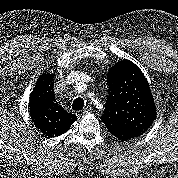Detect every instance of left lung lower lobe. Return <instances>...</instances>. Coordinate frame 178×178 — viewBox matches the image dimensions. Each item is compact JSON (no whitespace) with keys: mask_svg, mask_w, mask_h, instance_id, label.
Segmentation results:
<instances>
[{"mask_svg":"<svg viewBox=\"0 0 178 178\" xmlns=\"http://www.w3.org/2000/svg\"><path fill=\"white\" fill-rule=\"evenodd\" d=\"M104 124L112 135L123 141L136 138L144 133L133 129L123 128L110 123Z\"/></svg>","mask_w":178,"mask_h":178,"instance_id":"left-lung-lower-lobe-1","label":"left lung lower lobe"}]
</instances>
